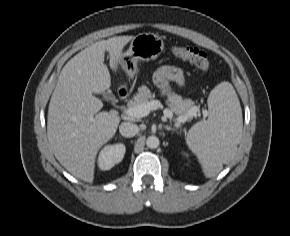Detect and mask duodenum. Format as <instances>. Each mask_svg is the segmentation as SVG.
I'll use <instances>...</instances> for the list:
<instances>
[{
    "label": "duodenum",
    "mask_w": 290,
    "mask_h": 236,
    "mask_svg": "<svg viewBox=\"0 0 290 236\" xmlns=\"http://www.w3.org/2000/svg\"><path fill=\"white\" fill-rule=\"evenodd\" d=\"M127 97H128L127 92H125V91H123V90H120V91H119V98H120L121 101L126 100Z\"/></svg>",
    "instance_id": "obj_1"
}]
</instances>
